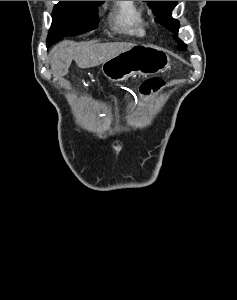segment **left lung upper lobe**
<instances>
[{"label":"left lung upper lobe","instance_id":"5c2ea615","mask_svg":"<svg viewBox=\"0 0 237 300\" xmlns=\"http://www.w3.org/2000/svg\"><path fill=\"white\" fill-rule=\"evenodd\" d=\"M148 5L153 9V13L157 16V21L171 30L175 35L178 33L179 22L173 19L171 11L177 5L178 1H147ZM178 42L180 50H184L186 45L178 38L174 37Z\"/></svg>","mask_w":237,"mask_h":300}]
</instances>
